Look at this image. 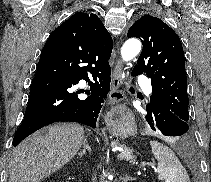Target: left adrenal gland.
I'll return each mask as SVG.
<instances>
[{"instance_id":"obj_1","label":"left adrenal gland","mask_w":211,"mask_h":182,"mask_svg":"<svg viewBox=\"0 0 211 182\" xmlns=\"http://www.w3.org/2000/svg\"><path fill=\"white\" fill-rule=\"evenodd\" d=\"M121 179H122V182H127V181H130V180H134V178L129 177V176L121 177Z\"/></svg>"}]
</instances>
